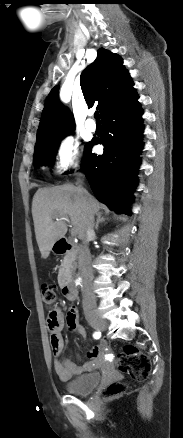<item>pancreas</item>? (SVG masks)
I'll use <instances>...</instances> for the list:
<instances>
[{
    "mask_svg": "<svg viewBox=\"0 0 183 438\" xmlns=\"http://www.w3.org/2000/svg\"><path fill=\"white\" fill-rule=\"evenodd\" d=\"M74 261H75V257L73 255V253H71V252L68 253L64 257V259H63V261L61 263L60 270H59L58 281H59L60 284L63 283V277H64V274L66 273V268L71 267V265L73 264Z\"/></svg>",
    "mask_w": 183,
    "mask_h": 438,
    "instance_id": "1",
    "label": "pancreas"
}]
</instances>
